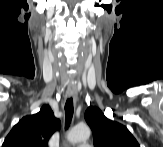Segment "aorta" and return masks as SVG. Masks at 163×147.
Masks as SVG:
<instances>
[{
  "instance_id": "762f6f07",
  "label": "aorta",
  "mask_w": 163,
  "mask_h": 147,
  "mask_svg": "<svg viewBox=\"0 0 163 147\" xmlns=\"http://www.w3.org/2000/svg\"><path fill=\"white\" fill-rule=\"evenodd\" d=\"M91 132L87 125H76L68 134V141L71 143L83 142L90 138Z\"/></svg>"
}]
</instances>
